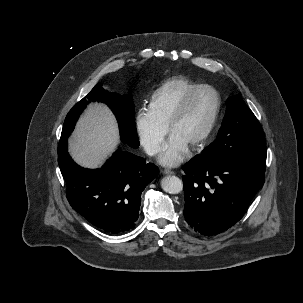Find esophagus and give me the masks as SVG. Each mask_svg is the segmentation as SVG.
I'll return each instance as SVG.
<instances>
[{
  "label": "esophagus",
  "mask_w": 303,
  "mask_h": 303,
  "mask_svg": "<svg viewBox=\"0 0 303 303\" xmlns=\"http://www.w3.org/2000/svg\"><path fill=\"white\" fill-rule=\"evenodd\" d=\"M162 173L165 174V175H172V174H175L174 171L169 170V169H164V170H162Z\"/></svg>",
  "instance_id": "esophagus-1"
}]
</instances>
